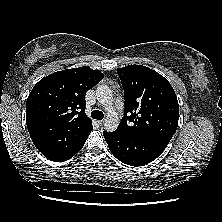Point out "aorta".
<instances>
[{"instance_id":"aorta-1","label":"aorta","mask_w":222,"mask_h":222,"mask_svg":"<svg viewBox=\"0 0 222 222\" xmlns=\"http://www.w3.org/2000/svg\"><path fill=\"white\" fill-rule=\"evenodd\" d=\"M96 96L99 103L105 106L107 116L104 122L105 130L113 132L119 125V117L113 109V94L112 90L106 85H100L96 89Z\"/></svg>"}]
</instances>
